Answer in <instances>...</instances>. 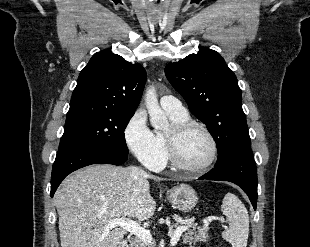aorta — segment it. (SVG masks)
Wrapping results in <instances>:
<instances>
[{
  "mask_svg": "<svg viewBox=\"0 0 310 247\" xmlns=\"http://www.w3.org/2000/svg\"><path fill=\"white\" fill-rule=\"evenodd\" d=\"M145 103L152 127L157 130L167 129L169 125L168 119L164 111L159 106L156 89L154 86H150L146 90Z\"/></svg>",
  "mask_w": 310,
  "mask_h": 247,
  "instance_id": "762f6f07",
  "label": "aorta"
}]
</instances>
